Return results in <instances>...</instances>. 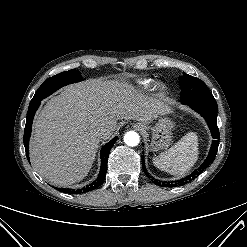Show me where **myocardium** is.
<instances>
[{
  "instance_id": "1",
  "label": "myocardium",
  "mask_w": 247,
  "mask_h": 247,
  "mask_svg": "<svg viewBox=\"0 0 247 247\" xmlns=\"http://www.w3.org/2000/svg\"><path fill=\"white\" fill-rule=\"evenodd\" d=\"M156 89H158V90H163V89H164V85L161 84V83H157V84H156Z\"/></svg>"
}]
</instances>
